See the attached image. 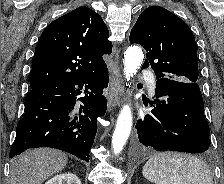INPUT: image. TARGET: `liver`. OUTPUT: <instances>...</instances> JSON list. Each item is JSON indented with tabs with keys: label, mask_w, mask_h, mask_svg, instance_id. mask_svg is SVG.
Returning a JSON list of instances; mask_svg holds the SVG:
<instances>
[{
	"label": "liver",
	"mask_w": 224,
	"mask_h": 184,
	"mask_svg": "<svg viewBox=\"0 0 224 184\" xmlns=\"http://www.w3.org/2000/svg\"><path fill=\"white\" fill-rule=\"evenodd\" d=\"M65 153L51 148L25 151L11 163L10 184H42L67 165Z\"/></svg>",
	"instance_id": "liver-1"
}]
</instances>
